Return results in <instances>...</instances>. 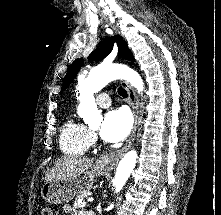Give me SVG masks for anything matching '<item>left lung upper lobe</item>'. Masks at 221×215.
<instances>
[{
    "instance_id": "obj_1",
    "label": "left lung upper lobe",
    "mask_w": 221,
    "mask_h": 215,
    "mask_svg": "<svg viewBox=\"0 0 221 215\" xmlns=\"http://www.w3.org/2000/svg\"><path fill=\"white\" fill-rule=\"evenodd\" d=\"M114 42H116L118 45V55L133 61V57L131 56V53L127 48L126 42L123 41V38L120 36L106 37L101 44L102 45L101 48L96 49L94 52H92L89 55L88 60L92 62L104 59L112 51ZM82 64H83L82 59H76L72 63L64 78L61 92H63V90L72 82V80L75 78Z\"/></svg>"
}]
</instances>
